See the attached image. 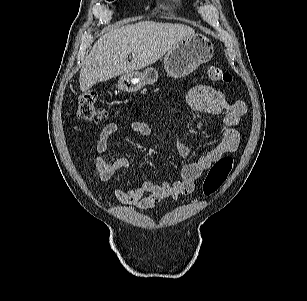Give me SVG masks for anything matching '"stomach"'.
Here are the masks:
<instances>
[{"instance_id": "obj_1", "label": "stomach", "mask_w": 307, "mask_h": 301, "mask_svg": "<svg viewBox=\"0 0 307 301\" xmlns=\"http://www.w3.org/2000/svg\"><path fill=\"white\" fill-rule=\"evenodd\" d=\"M214 53L210 40L202 34L190 35L179 41L164 57V68L169 77L183 78L196 70L201 64L211 60ZM158 80V72L153 67L143 72L133 71L122 75L117 83L118 89L135 92L147 84Z\"/></svg>"}]
</instances>
